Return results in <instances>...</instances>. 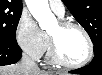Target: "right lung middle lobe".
Listing matches in <instances>:
<instances>
[{
	"label": "right lung middle lobe",
	"mask_w": 102,
	"mask_h": 75,
	"mask_svg": "<svg viewBox=\"0 0 102 75\" xmlns=\"http://www.w3.org/2000/svg\"><path fill=\"white\" fill-rule=\"evenodd\" d=\"M22 7L0 4V42L17 44L15 32Z\"/></svg>",
	"instance_id": "1"
}]
</instances>
